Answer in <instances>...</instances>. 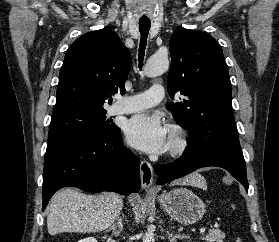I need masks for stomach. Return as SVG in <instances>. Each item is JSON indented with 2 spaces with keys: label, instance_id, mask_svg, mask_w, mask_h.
I'll use <instances>...</instances> for the list:
<instances>
[{
  "label": "stomach",
  "instance_id": "0dacf381",
  "mask_svg": "<svg viewBox=\"0 0 279 242\" xmlns=\"http://www.w3.org/2000/svg\"><path fill=\"white\" fill-rule=\"evenodd\" d=\"M162 209L181 224L192 225L199 221L205 211L204 202L187 188H176L158 196Z\"/></svg>",
  "mask_w": 279,
  "mask_h": 242
}]
</instances>
